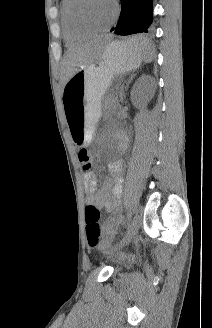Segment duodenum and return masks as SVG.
Here are the masks:
<instances>
[{
  "mask_svg": "<svg viewBox=\"0 0 212 328\" xmlns=\"http://www.w3.org/2000/svg\"><path fill=\"white\" fill-rule=\"evenodd\" d=\"M118 139H119L121 144H124L125 141H124V138L121 135L118 136Z\"/></svg>",
  "mask_w": 212,
  "mask_h": 328,
  "instance_id": "duodenum-1",
  "label": "duodenum"
}]
</instances>
